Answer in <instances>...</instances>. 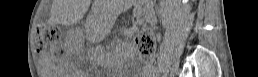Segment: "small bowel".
Wrapping results in <instances>:
<instances>
[{
  "label": "small bowel",
  "mask_w": 258,
  "mask_h": 77,
  "mask_svg": "<svg viewBox=\"0 0 258 77\" xmlns=\"http://www.w3.org/2000/svg\"><path fill=\"white\" fill-rule=\"evenodd\" d=\"M144 73L147 74V75H150V74H153V73H155V72H154V71H151V70H149V69H146V70H144Z\"/></svg>",
  "instance_id": "obj_1"
}]
</instances>
